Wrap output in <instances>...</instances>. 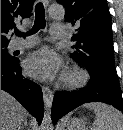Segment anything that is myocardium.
Returning <instances> with one entry per match:
<instances>
[{
    "label": "myocardium",
    "mask_w": 123,
    "mask_h": 130,
    "mask_svg": "<svg viewBox=\"0 0 123 130\" xmlns=\"http://www.w3.org/2000/svg\"><path fill=\"white\" fill-rule=\"evenodd\" d=\"M89 80V74L81 67L75 66L65 74L63 78V85L68 88L83 87Z\"/></svg>",
    "instance_id": "1"
}]
</instances>
